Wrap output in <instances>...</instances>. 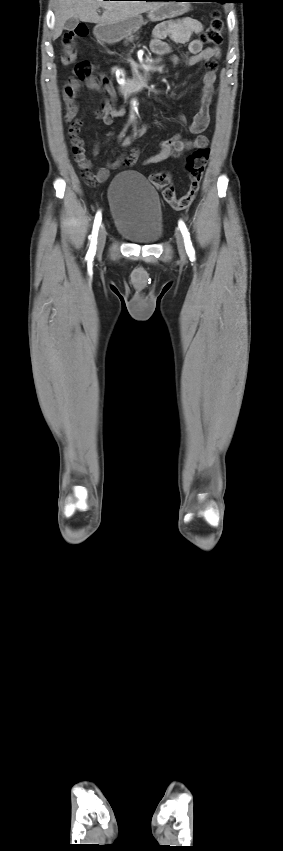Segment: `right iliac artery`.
Listing matches in <instances>:
<instances>
[{
  "label": "right iliac artery",
  "instance_id": "right-iliac-artery-1",
  "mask_svg": "<svg viewBox=\"0 0 283 851\" xmlns=\"http://www.w3.org/2000/svg\"><path fill=\"white\" fill-rule=\"evenodd\" d=\"M100 224H101V213L98 212L95 216L93 231H92V234H91V244H90V248H89L88 253H87V256L91 257V258L94 257L95 252H96L97 235H98V230H99Z\"/></svg>",
  "mask_w": 283,
  "mask_h": 851
}]
</instances>
